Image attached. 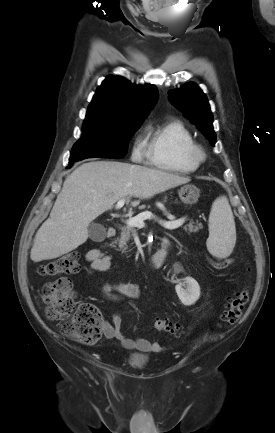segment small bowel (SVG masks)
Listing matches in <instances>:
<instances>
[{
	"label": "small bowel",
	"instance_id": "obj_1",
	"mask_svg": "<svg viewBox=\"0 0 275 433\" xmlns=\"http://www.w3.org/2000/svg\"><path fill=\"white\" fill-rule=\"evenodd\" d=\"M85 259L89 263L91 273L105 271L110 266V258L97 248L88 250L85 254ZM103 295L109 301H116L121 298H136L139 295V287L129 282L105 284L103 287ZM121 328L122 319L118 314L113 315L111 322L104 321L102 323L104 336L108 339L119 341L126 349L141 352H159L163 350V346L156 341L143 338L130 339L126 337Z\"/></svg>",
	"mask_w": 275,
	"mask_h": 433
}]
</instances>
